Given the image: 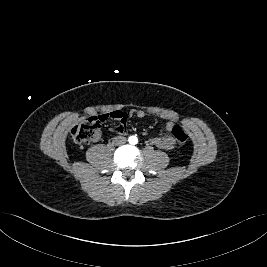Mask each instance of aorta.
<instances>
[{"label": "aorta", "mask_w": 267, "mask_h": 267, "mask_svg": "<svg viewBox=\"0 0 267 267\" xmlns=\"http://www.w3.org/2000/svg\"><path fill=\"white\" fill-rule=\"evenodd\" d=\"M138 142V138L136 136H130L129 137V143L132 144V145H135L137 144Z\"/></svg>", "instance_id": "1"}]
</instances>
